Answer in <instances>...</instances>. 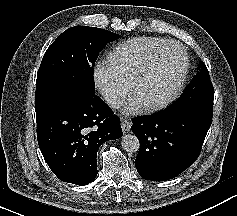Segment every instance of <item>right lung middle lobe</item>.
<instances>
[{
  "mask_svg": "<svg viewBox=\"0 0 237 216\" xmlns=\"http://www.w3.org/2000/svg\"><path fill=\"white\" fill-rule=\"evenodd\" d=\"M117 34L105 29L74 26L47 49L36 80L35 110L73 88L95 93L94 64L101 49Z\"/></svg>",
  "mask_w": 237,
  "mask_h": 216,
  "instance_id": "obj_1",
  "label": "right lung middle lobe"
}]
</instances>
